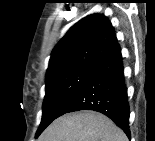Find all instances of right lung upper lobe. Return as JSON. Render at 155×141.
Here are the masks:
<instances>
[{
	"label": "right lung upper lobe",
	"mask_w": 155,
	"mask_h": 141,
	"mask_svg": "<svg viewBox=\"0 0 155 141\" xmlns=\"http://www.w3.org/2000/svg\"><path fill=\"white\" fill-rule=\"evenodd\" d=\"M118 45L104 15L92 14L72 26L52 51L46 79L75 68L95 69Z\"/></svg>",
	"instance_id": "obj_1"
}]
</instances>
